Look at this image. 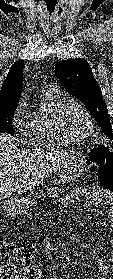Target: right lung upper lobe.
<instances>
[{"instance_id":"obj_1","label":"right lung upper lobe","mask_w":113,"mask_h":279,"mask_svg":"<svg viewBox=\"0 0 113 279\" xmlns=\"http://www.w3.org/2000/svg\"><path fill=\"white\" fill-rule=\"evenodd\" d=\"M23 61H16L10 68L0 89V111L16 108L23 81Z\"/></svg>"}]
</instances>
